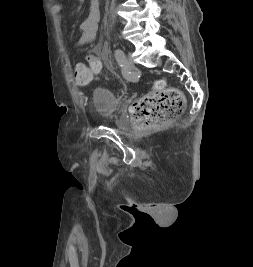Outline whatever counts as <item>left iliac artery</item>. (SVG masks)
<instances>
[{"label": "left iliac artery", "mask_w": 253, "mask_h": 267, "mask_svg": "<svg viewBox=\"0 0 253 267\" xmlns=\"http://www.w3.org/2000/svg\"><path fill=\"white\" fill-rule=\"evenodd\" d=\"M122 53V50H121ZM121 53L119 54L116 50H115V58L118 62V64L124 69H126V63H125V57L124 55H121Z\"/></svg>", "instance_id": "left-iliac-artery-1"}]
</instances>
